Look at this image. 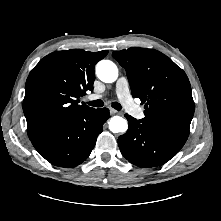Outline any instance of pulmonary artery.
<instances>
[{
    "label": "pulmonary artery",
    "mask_w": 221,
    "mask_h": 221,
    "mask_svg": "<svg viewBox=\"0 0 221 221\" xmlns=\"http://www.w3.org/2000/svg\"><path fill=\"white\" fill-rule=\"evenodd\" d=\"M116 93L118 99L123 104L124 107L128 108L130 112L137 118L142 117V111L138 108L129 92L128 81L125 77H120L116 82ZM101 98V95L92 94L89 96L90 100H95Z\"/></svg>",
    "instance_id": "e3ab8cb5"
}]
</instances>
